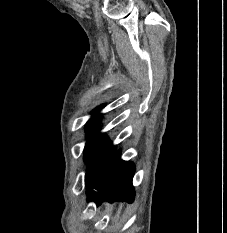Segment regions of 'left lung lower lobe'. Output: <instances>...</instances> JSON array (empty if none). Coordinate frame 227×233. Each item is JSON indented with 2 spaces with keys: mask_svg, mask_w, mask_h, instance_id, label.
<instances>
[{
  "mask_svg": "<svg viewBox=\"0 0 227 233\" xmlns=\"http://www.w3.org/2000/svg\"><path fill=\"white\" fill-rule=\"evenodd\" d=\"M134 172V164L121 160L120 152H117L104 173L99 188L95 193L89 194L88 199L95 201L97 205L104 201L132 202L134 199V188L132 186Z\"/></svg>",
  "mask_w": 227,
  "mask_h": 233,
  "instance_id": "0a47b994",
  "label": "left lung lower lobe"
}]
</instances>
